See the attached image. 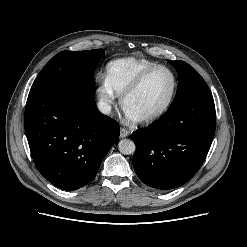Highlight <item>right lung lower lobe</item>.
I'll return each mask as SVG.
<instances>
[{"mask_svg":"<svg viewBox=\"0 0 247 247\" xmlns=\"http://www.w3.org/2000/svg\"><path fill=\"white\" fill-rule=\"evenodd\" d=\"M25 133L41 175L76 190L95 177L119 138V125L98 111L92 94L46 92L28 96Z\"/></svg>","mask_w":247,"mask_h":247,"instance_id":"right-lung-lower-lobe-1","label":"right lung lower lobe"}]
</instances>
